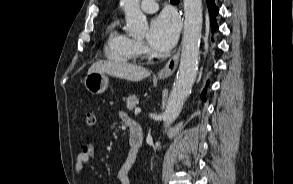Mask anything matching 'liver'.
Segmentation results:
<instances>
[{"mask_svg":"<svg viewBox=\"0 0 293 184\" xmlns=\"http://www.w3.org/2000/svg\"><path fill=\"white\" fill-rule=\"evenodd\" d=\"M93 72L107 73L111 76L135 82L141 81L151 74L148 69L141 66L108 60H101L94 63L88 70V73Z\"/></svg>","mask_w":293,"mask_h":184,"instance_id":"obj_1","label":"liver"}]
</instances>
